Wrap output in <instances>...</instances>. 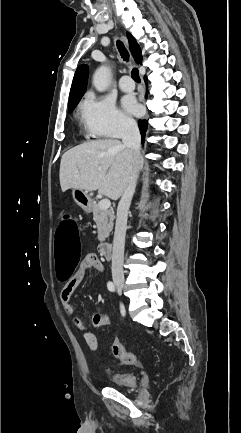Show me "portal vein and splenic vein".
Segmentation results:
<instances>
[{
	"mask_svg": "<svg viewBox=\"0 0 241 433\" xmlns=\"http://www.w3.org/2000/svg\"><path fill=\"white\" fill-rule=\"evenodd\" d=\"M110 206H111V202H110L109 199H102V200L99 202V207H100V209H102V210L108 209V208H110Z\"/></svg>",
	"mask_w": 241,
	"mask_h": 433,
	"instance_id": "portal-vein-and-splenic-vein-1",
	"label": "portal vein and splenic vein"
}]
</instances>
